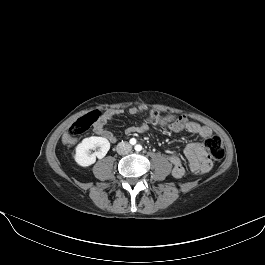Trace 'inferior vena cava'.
Segmentation results:
<instances>
[{
    "instance_id": "602c4592",
    "label": "inferior vena cava",
    "mask_w": 265,
    "mask_h": 265,
    "mask_svg": "<svg viewBox=\"0 0 265 265\" xmlns=\"http://www.w3.org/2000/svg\"><path fill=\"white\" fill-rule=\"evenodd\" d=\"M132 147L128 142H120L117 147V153L120 155H126L131 151Z\"/></svg>"
}]
</instances>
